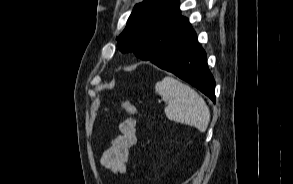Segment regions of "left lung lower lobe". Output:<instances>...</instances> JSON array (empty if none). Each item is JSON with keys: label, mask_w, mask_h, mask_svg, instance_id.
<instances>
[{"label": "left lung lower lobe", "mask_w": 293, "mask_h": 184, "mask_svg": "<svg viewBox=\"0 0 293 184\" xmlns=\"http://www.w3.org/2000/svg\"><path fill=\"white\" fill-rule=\"evenodd\" d=\"M164 30L147 47L152 53L149 61L187 81L215 102V81L208 69L206 53L188 19L179 10Z\"/></svg>", "instance_id": "left-lung-lower-lobe-1"}]
</instances>
